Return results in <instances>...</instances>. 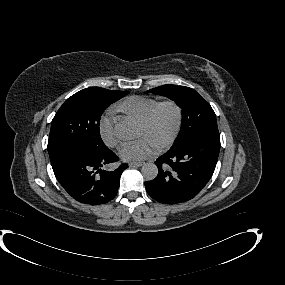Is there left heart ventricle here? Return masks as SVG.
I'll return each instance as SVG.
<instances>
[{
    "label": "left heart ventricle",
    "mask_w": 285,
    "mask_h": 285,
    "mask_svg": "<svg viewBox=\"0 0 285 285\" xmlns=\"http://www.w3.org/2000/svg\"><path fill=\"white\" fill-rule=\"evenodd\" d=\"M174 118V110L171 107L165 109L162 119L158 123L154 133L151 135L154 139H161L166 135L171 127Z\"/></svg>",
    "instance_id": "1"
}]
</instances>
